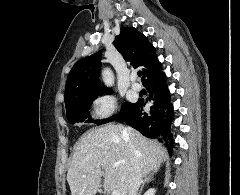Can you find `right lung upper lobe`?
Wrapping results in <instances>:
<instances>
[{
  "mask_svg": "<svg viewBox=\"0 0 240 195\" xmlns=\"http://www.w3.org/2000/svg\"><path fill=\"white\" fill-rule=\"evenodd\" d=\"M113 43L130 65L142 70L144 86L161 72L154 46L136 28L123 27ZM100 60L101 51L79 60L73 66L66 83L65 106L79 98L111 93L110 89L99 86Z\"/></svg>",
  "mask_w": 240,
  "mask_h": 195,
  "instance_id": "1",
  "label": "right lung upper lobe"
}]
</instances>
